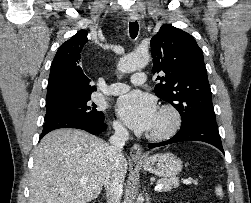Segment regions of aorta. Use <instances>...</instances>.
Wrapping results in <instances>:
<instances>
[{"label": "aorta", "instance_id": "762f6f07", "mask_svg": "<svg viewBox=\"0 0 251 203\" xmlns=\"http://www.w3.org/2000/svg\"><path fill=\"white\" fill-rule=\"evenodd\" d=\"M149 54L147 51H136L122 58L117 68L122 73H130L145 67L149 62Z\"/></svg>", "mask_w": 251, "mask_h": 203}]
</instances>
